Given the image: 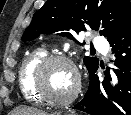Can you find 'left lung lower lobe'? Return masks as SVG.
Here are the masks:
<instances>
[{"mask_svg":"<svg viewBox=\"0 0 131 115\" xmlns=\"http://www.w3.org/2000/svg\"><path fill=\"white\" fill-rule=\"evenodd\" d=\"M114 68L104 72L99 81L94 69L90 74L88 91L73 109L90 115H131V21L109 40Z\"/></svg>","mask_w":131,"mask_h":115,"instance_id":"obj_1","label":"left lung lower lobe"}]
</instances>
